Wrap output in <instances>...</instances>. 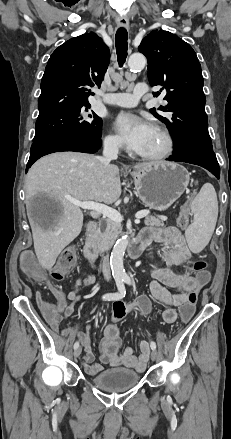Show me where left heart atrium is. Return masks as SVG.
<instances>
[{
	"instance_id": "obj_1",
	"label": "left heart atrium",
	"mask_w": 231,
	"mask_h": 439,
	"mask_svg": "<svg viewBox=\"0 0 231 439\" xmlns=\"http://www.w3.org/2000/svg\"><path fill=\"white\" fill-rule=\"evenodd\" d=\"M114 127L122 142L138 153L154 129L149 122L130 113L119 114L114 121Z\"/></svg>"
}]
</instances>
